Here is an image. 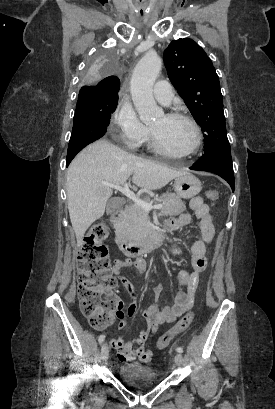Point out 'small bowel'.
Returning <instances> with one entry per match:
<instances>
[{"mask_svg":"<svg viewBox=\"0 0 275 409\" xmlns=\"http://www.w3.org/2000/svg\"><path fill=\"white\" fill-rule=\"evenodd\" d=\"M190 208L194 212L201 236L195 239L190 247V259L192 270H181L178 273V278L182 284V288L177 292L174 303L171 306L160 307L156 303L148 306L143 312V318L147 325L144 326L139 337L125 338V337H111L109 340L112 351H116L117 360H144L145 365L151 364L152 353L145 351L143 347L146 344V336L152 334L159 324L174 322L179 316L186 312L193 304V301L197 295V287L199 284V275L203 272L207 266V245L212 241L214 237V219L210 212V204L207 203L202 197H194L190 202ZM190 215L183 214L179 216L174 222H170V226H174L176 229L184 228L190 223ZM177 249L172 248L171 254L176 256ZM130 267L137 273H142L145 270V262L138 260L135 262L121 260L114 265V273L119 275L121 269ZM119 283L123 284L127 289L130 297L136 299L138 293L133 284L128 281L127 277H120ZM155 300H158L163 292V286L158 284L154 290ZM116 318L118 319L117 325L119 328H126L128 322L126 317H132L136 314L137 305L131 304L127 311L121 309L124 307L123 301L117 302ZM130 320V319H129ZM134 347L132 350V346Z\"/></svg>","mask_w":275,"mask_h":409,"instance_id":"small-bowel-1","label":"small bowel"}]
</instances>
